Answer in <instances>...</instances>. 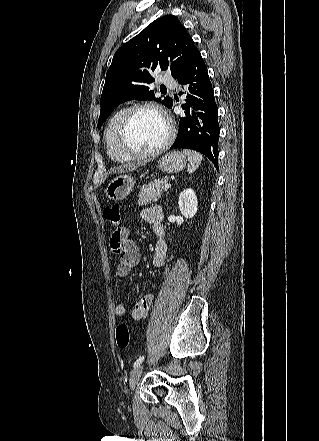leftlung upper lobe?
<instances>
[{
    "instance_id": "1",
    "label": "left lung upper lobe",
    "mask_w": 319,
    "mask_h": 441,
    "mask_svg": "<svg viewBox=\"0 0 319 441\" xmlns=\"http://www.w3.org/2000/svg\"><path fill=\"white\" fill-rule=\"evenodd\" d=\"M198 53L194 41L175 16L156 19L115 53L102 91L98 128L119 104L128 100H156L170 108L173 103L170 97L155 99L149 90L148 84L154 81L150 72L158 68L170 70L176 79Z\"/></svg>"
}]
</instances>
